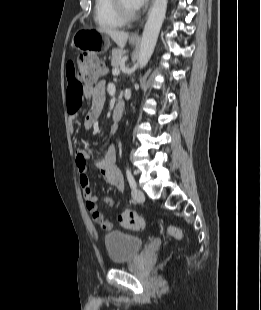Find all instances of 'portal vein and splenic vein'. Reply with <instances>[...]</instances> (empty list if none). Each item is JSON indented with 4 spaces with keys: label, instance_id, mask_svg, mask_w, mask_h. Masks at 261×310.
I'll return each mask as SVG.
<instances>
[{
    "label": "portal vein and splenic vein",
    "instance_id": "obj_1",
    "mask_svg": "<svg viewBox=\"0 0 261 310\" xmlns=\"http://www.w3.org/2000/svg\"><path fill=\"white\" fill-rule=\"evenodd\" d=\"M112 74L115 75V76H117V75L120 74V70H119L118 68H114V69L112 70Z\"/></svg>",
    "mask_w": 261,
    "mask_h": 310
}]
</instances>
